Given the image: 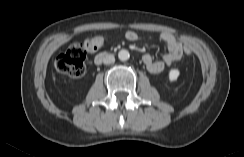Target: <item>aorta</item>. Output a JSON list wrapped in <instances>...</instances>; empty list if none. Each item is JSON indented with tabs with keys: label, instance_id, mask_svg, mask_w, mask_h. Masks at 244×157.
I'll return each mask as SVG.
<instances>
[{
	"label": "aorta",
	"instance_id": "aorta-1",
	"mask_svg": "<svg viewBox=\"0 0 244 157\" xmlns=\"http://www.w3.org/2000/svg\"><path fill=\"white\" fill-rule=\"evenodd\" d=\"M118 58L120 61H127L130 58L128 50L122 49L118 52Z\"/></svg>",
	"mask_w": 244,
	"mask_h": 157
}]
</instances>
